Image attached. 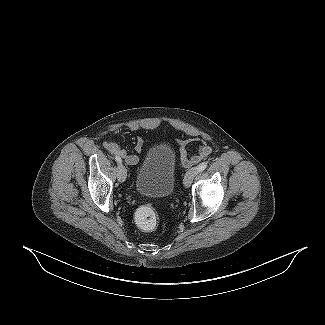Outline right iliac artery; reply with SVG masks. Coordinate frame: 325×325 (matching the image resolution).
<instances>
[{
    "mask_svg": "<svg viewBox=\"0 0 325 325\" xmlns=\"http://www.w3.org/2000/svg\"><path fill=\"white\" fill-rule=\"evenodd\" d=\"M115 161L118 162V163L122 162V160H121V158L119 156H115Z\"/></svg>",
    "mask_w": 325,
    "mask_h": 325,
    "instance_id": "obj_1",
    "label": "right iliac artery"
}]
</instances>
